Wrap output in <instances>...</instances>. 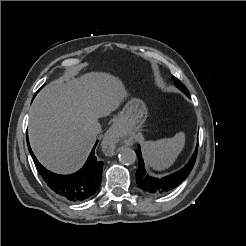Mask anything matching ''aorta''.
Returning a JSON list of instances; mask_svg holds the SVG:
<instances>
[{
	"instance_id": "1",
	"label": "aorta",
	"mask_w": 246,
	"mask_h": 246,
	"mask_svg": "<svg viewBox=\"0 0 246 246\" xmlns=\"http://www.w3.org/2000/svg\"><path fill=\"white\" fill-rule=\"evenodd\" d=\"M135 151L128 147H122L119 152V161L124 165H132L136 161Z\"/></svg>"
}]
</instances>
